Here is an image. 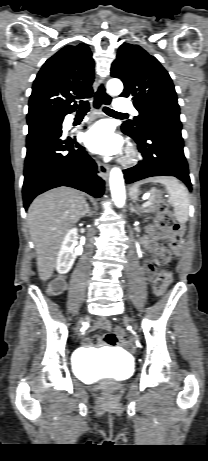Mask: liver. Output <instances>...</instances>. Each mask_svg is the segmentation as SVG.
<instances>
[{
  "instance_id": "6515ba94",
  "label": "liver",
  "mask_w": 208,
  "mask_h": 461,
  "mask_svg": "<svg viewBox=\"0 0 208 461\" xmlns=\"http://www.w3.org/2000/svg\"><path fill=\"white\" fill-rule=\"evenodd\" d=\"M86 211L84 194L67 187L45 192L30 205L27 221L36 247L38 275L42 281L52 276L65 234Z\"/></svg>"
}]
</instances>
